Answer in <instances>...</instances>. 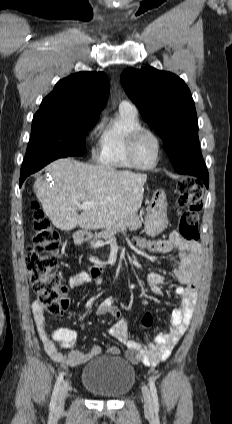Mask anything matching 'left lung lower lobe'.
Instances as JSON below:
<instances>
[{"mask_svg": "<svg viewBox=\"0 0 232 424\" xmlns=\"http://www.w3.org/2000/svg\"><path fill=\"white\" fill-rule=\"evenodd\" d=\"M178 173L196 176L200 178V180H198L200 184L202 185V183H204L206 188H208V185H209L208 171L204 163L201 151L199 155H197L192 160H190L186 165H184L178 171Z\"/></svg>", "mask_w": 232, "mask_h": 424, "instance_id": "obj_1", "label": "left lung lower lobe"}]
</instances>
